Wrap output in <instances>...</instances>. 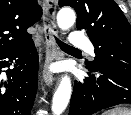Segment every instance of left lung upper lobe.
<instances>
[{
	"instance_id": "left-lung-upper-lobe-1",
	"label": "left lung upper lobe",
	"mask_w": 131,
	"mask_h": 115,
	"mask_svg": "<svg viewBox=\"0 0 131 115\" xmlns=\"http://www.w3.org/2000/svg\"><path fill=\"white\" fill-rule=\"evenodd\" d=\"M59 6L75 9L77 29H85L95 47L88 68L131 77V27L113 0H59Z\"/></svg>"
}]
</instances>
